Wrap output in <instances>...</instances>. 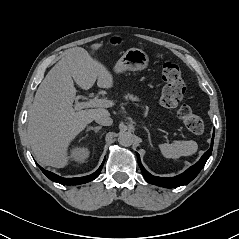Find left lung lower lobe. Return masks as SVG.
<instances>
[{
    "mask_svg": "<svg viewBox=\"0 0 239 239\" xmlns=\"http://www.w3.org/2000/svg\"><path fill=\"white\" fill-rule=\"evenodd\" d=\"M213 140H214V133H213V137L211 139L210 149L203 154L201 159L195 165L191 166L184 173H182L178 176L165 178V177H156V176L151 175L142 166L139 154L137 153V158H138V163H139L140 169H141L146 181L151 184L158 185V186L165 187V188H175V187H179L182 185H186L189 182H191L198 175V173L201 171V169L204 167L206 161L208 160V158L210 157V155L212 153Z\"/></svg>",
    "mask_w": 239,
    "mask_h": 239,
    "instance_id": "1",
    "label": "left lung lower lobe"
}]
</instances>
